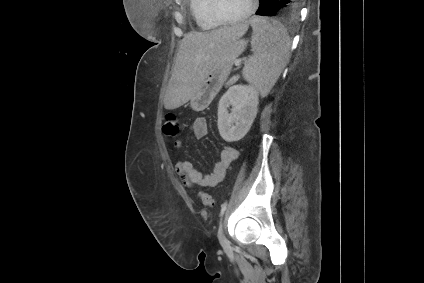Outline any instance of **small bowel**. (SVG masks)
<instances>
[{
	"mask_svg": "<svg viewBox=\"0 0 424 283\" xmlns=\"http://www.w3.org/2000/svg\"><path fill=\"white\" fill-rule=\"evenodd\" d=\"M190 129L197 139L203 138L208 134L206 119L203 117L195 119ZM238 156L237 149L232 146H225L220 152L219 161L215 163L212 172L204 174L197 170L190 161L177 162L175 171L188 188L195 186L214 187L225 178L229 166L237 160Z\"/></svg>",
	"mask_w": 424,
	"mask_h": 283,
	"instance_id": "1",
	"label": "small bowel"
}]
</instances>
